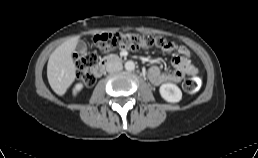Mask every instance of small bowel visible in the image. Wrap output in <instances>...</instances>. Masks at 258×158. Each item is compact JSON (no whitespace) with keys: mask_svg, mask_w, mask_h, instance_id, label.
Segmentation results:
<instances>
[{"mask_svg":"<svg viewBox=\"0 0 258 158\" xmlns=\"http://www.w3.org/2000/svg\"><path fill=\"white\" fill-rule=\"evenodd\" d=\"M170 50H176L178 52V54L172 58V65L175 69L170 72H163L157 66L150 67L148 77L154 85H161L166 82L178 83L185 75L198 74V69L191 63L189 58L190 52L185 46H180L173 42V47Z\"/></svg>","mask_w":258,"mask_h":158,"instance_id":"obj_1","label":"small bowel"}]
</instances>
